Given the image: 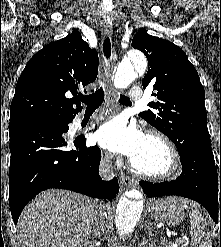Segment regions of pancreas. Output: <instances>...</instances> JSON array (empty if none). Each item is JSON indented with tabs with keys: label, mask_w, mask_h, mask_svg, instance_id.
<instances>
[{
	"label": "pancreas",
	"mask_w": 221,
	"mask_h": 247,
	"mask_svg": "<svg viewBox=\"0 0 221 247\" xmlns=\"http://www.w3.org/2000/svg\"><path fill=\"white\" fill-rule=\"evenodd\" d=\"M161 245L162 247H173L172 244L168 242L167 240H162Z\"/></svg>",
	"instance_id": "1"
}]
</instances>
